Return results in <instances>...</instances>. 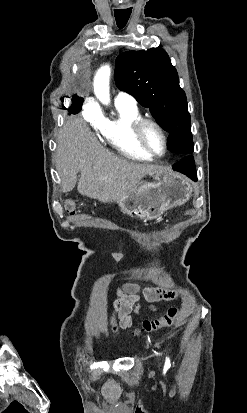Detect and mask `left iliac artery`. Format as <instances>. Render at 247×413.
Returning <instances> with one entry per match:
<instances>
[{
	"instance_id": "obj_1",
	"label": "left iliac artery",
	"mask_w": 247,
	"mask_h": 413,
	"mask_svg": "<svg viewBox=\"0 0 247 413\" xmlns=\"http://www.w3.org/2000/svg\"><path fill=\"white\" fill-rule=\"evenodd\" d=\"M170 366H171V364H170V359H169V357H166V361H165V365H164V369H169L170 368Z\"/></svg>"
}]
</instances>
